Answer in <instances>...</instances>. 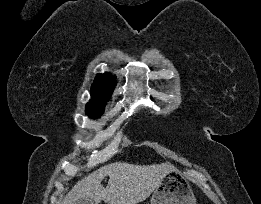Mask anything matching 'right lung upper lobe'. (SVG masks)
Returning a JSON list of instances; mask_svg holds the SVG:
<instances>
[{
  "label": "right lung upper lobe",
  "mask_w": 261,
  "mask_h": 204,
  "mask_svg": "<svg viewBox=\"0 0 261 204\" xmlns=\"http://www.w3.org/2000/svg\"><path fill=\"white\" fill-rule=\"evenodd\" d=\"M115 86V80L109 73L97 74L91 87V101L87 106L104 107Z\"/></svg>",
  "instance_id": "right-lung-upper-lobe-1"
}]
</instances>
